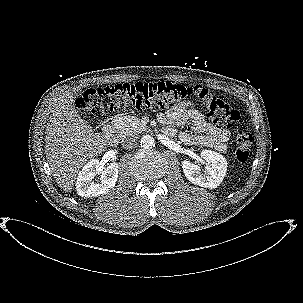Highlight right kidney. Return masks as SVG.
I'll use <instances>...</instances> for the list:
<instances>
[{"mask_svg":"<svg viewBox=\"0 0 303 303\" xmlns=\"http://www.w3.org/2000/svg\"><path fill=\"white\" fill-rule=\"evenodd\" d=\"M119 166L111 163L104 167L97 159L90 160L78 173L76 181L77 194L82 197H97L113 188L118 179ZM101 174L100 182L93 181L97 174Z\"/></svg>","mask_w":303,"mask_h":303,"instance_id":"ca27d5eb","label":"right kidney"}]
</instances>
